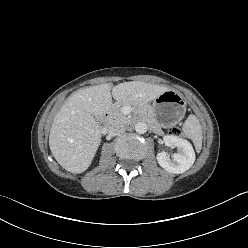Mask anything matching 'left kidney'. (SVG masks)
Returning <instances> with one entry per match:
<instances>
[{
    "mask_svg": "<svg viewBox=\"0 0 248 248\" xmlns=\"http://www.w3.org/2000/svg\"><path fill=\"white\" fill-rule=\"evenodd\" d=\"M166 146L177 147L178 153L169 157L166 152L157 154L159 165L166 171L180 174L187 171L195 162V152L192 145L185 139L178 136L167 135L163 137Z\"/></svg>",
    "mask_w": 248,
    "mask_h": 248,
    "instance_id": "5707ae66",
    "label": "left kidney"
}]
</instances>
